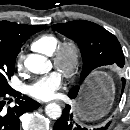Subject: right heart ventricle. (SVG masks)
<instances>
[{
    "label": "right heart ventricle",
    "instance_id": "obj_1",
    "mask_svg": "<svg viewBox=\"0 0 130 130\" xmlns=\"http://www.w3.org/2000/svg\"><path fill=\"white\" fill-rule=\"evenodd\" d=\"M59 43L60 40L55 34L45 33L36 37L32 41L31 47L37 52L51 56Z\"/></svg>",
    "mask_w": 130,
    "mask_h": 130
}]
</instances>
